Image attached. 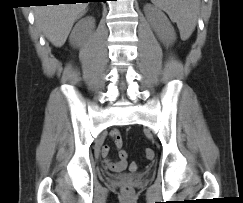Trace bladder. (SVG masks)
I'll use <instances>...</instances> for the list:
<instances>
[{"instance_id":"bladder-1","label":"bladder","mask_w":243,"mask_h":203,"mask_svg":"<svg viewBox=\"0 0 243 203\" xmlns=\"http://www.w3.org/2000/svg\"><path fill=\"white\" fill-rule=\"evenodd\" d=\"M147 176L146 172H140V173H135V174H130V173H124L120 175H114L113 177L115 179H120V180H137V179H143Z\"/></svg>"}]
</instances>
